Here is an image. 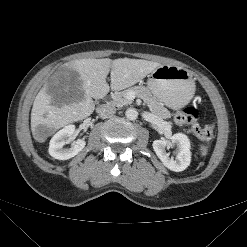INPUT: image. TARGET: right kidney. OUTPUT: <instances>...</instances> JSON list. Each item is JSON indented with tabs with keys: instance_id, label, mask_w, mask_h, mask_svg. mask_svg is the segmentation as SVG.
I'll return each instance as SVG.
<instances>
[{
	"instance_id": "ca27d5eb",
	"label": "right kidney",
	"mask_w": 247,
	"mask_h": 247,
	"mask_svg": "<svg viewBox=\"0 0 247 247\" xmlns=\"http://www.w3.org/2000/svg\"><path fill=\"white\" fill-rule=\"evenodd\" d=\"M74 131L75 126L68 125L52 137L49 144V154L52 157L58 160H67L76 156L85 147V140L77 139L70 148H63L72 139Z\"/></svg>"
}]
</instances>
